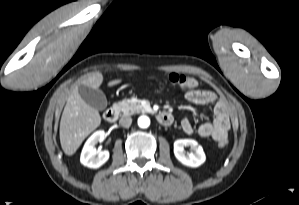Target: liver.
Segmentation results:
<instances>
[{"mask_svg":"<svg viewBox=\"0 0 299 205\" xmlns=\"http://www.w3.org/2000/svg\"><path fill=\"white\" fill-rule=\"evenodd\" d=\"M121 79L108 82V86L121 83ZM103 82L100 72L88 73L80 84L98 89ZM101 123L97 109L87 104L78 92V85L74 87L64 107L60 120V143L66 155H73L84 139Z\"/></svg>","mask_w":299,"mask_h":205,"instance_id":"liver-1","label":"liver"}]
</instances>
